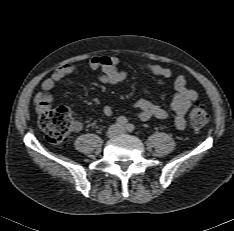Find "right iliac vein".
Instances as JSON below:
<instances>
[{"instance_id":"1","label":"right iliac vein","mask_w":234,"mask_h":231,"mask_svg":"<svg viewBox=\"0 0 234 231\" xmlns=\"http://www.w3.org/2000/svg\"><path fill=\"white\" fill-rule=\"evenodd\" d=\"M119 133V127L117 125L111 126L107 131V136L109 138L115 137Z\"/></svg>"}]
</instances>
